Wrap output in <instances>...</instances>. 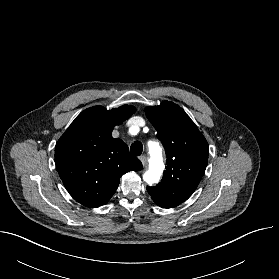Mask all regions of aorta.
Returning a JSON list of instances; mask_svg holds the SVG:
<instances>
[{
    "label": "aorta",
    "instance_id": "aorta-1",
    "mask_svg": "<svg viewBox=\"0 0 279 279\" xmlns=\"http://www.w3.org/2000/svg\"><path fill=\"white\" fill-rule=\"evenodd\" d=\"M151 149V163L149 169L144 173L143 179L148 184L157 183L160 179L163 162L161 157V151L157 144L152 143L150 146Z\"/></svg>",
    "mask_w": 279,
    "mask_h": 279
}]
</instances>
